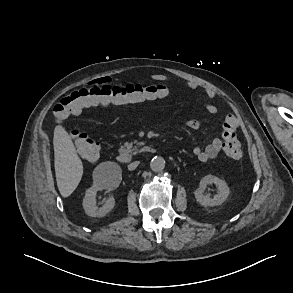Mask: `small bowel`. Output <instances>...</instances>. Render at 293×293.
<instances>
[{"mask_svg":"<svg viewBox=\"0 0 293 293\" xmlns=\"http://www.w3.org/2000/svg\"><path fill=\"white\" fill-rule=\"evenodd\" d=\"M151 79L154 81H159V82H167L170 80V78L168 76L163 75V74H154L151 76ZM100 80H106V79L103 78ZM185 84L191 89L198 88V85L195 82L187 81V82H185ZM159 85H162V84H159ZM162 86L165 88V90L168 93L167 88L164 85H162ZM204 97H205V107H206L207 111L211 114H216L218 112L217 105L214 103H210L208 101V100L214 99L216 97L215 91L212 89H205ZM158 99H160V98H158ZM155 100H157V99H152V100L137 102V103H132V104L150 103ZM186 127L191 130H197L201 127V122L196 119H190L186 122ZM222 150H223V141L220 138H213L204 148H202L200 146L194 147L193 154L197 157V159L199 161L205 163L209 160L216 158L221 153Z\"/></svg>","mask_w":293,"mask_h":293,"instance_id":"1","label":"small bowel"}]
</instances>
